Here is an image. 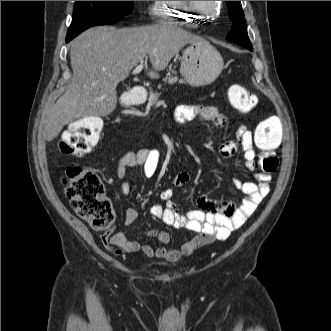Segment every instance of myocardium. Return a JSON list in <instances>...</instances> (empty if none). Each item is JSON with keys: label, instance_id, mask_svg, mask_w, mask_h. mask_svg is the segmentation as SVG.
<instances>
[{"label": "myocardium", "instance_id": "1", "mask_svg": "<svg viewBox=\"0 0 331 331\" xmlns=\"http://www.w3.org/2000/svg\"><path fill=\"white\" fill-rule=\"evenodd\" d=\"M187 3L192 10L200 13L207 10L212 14L218 7L217 1H210V5H204L200 1H187Z\"/></svg>", "mask_w": 331, "mask_h": 331}]
</instances>
